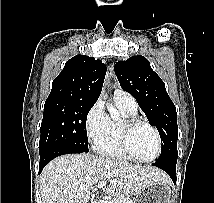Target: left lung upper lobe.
I'll list each match as a JSON object with an SVG mask.
<instances>
[{
	"label": "left lung upper lobe",
	"mask_w": 214,
	"mask_h": 203,
	"mask_svg": "<svg viewBox=\"0 0 214 203\" xmlns=\"http://www.w3.org/2000/svg\"><path fill=\"white\" fill-rule=\"evenodd\" d=\"M114 70L121 87L137 100L149 123L158 129L162 150L156 161H176L177 113L164 82L141 55L117 62Z\"/></svg>",
	"instance_id": "1"
}]
</instances>
